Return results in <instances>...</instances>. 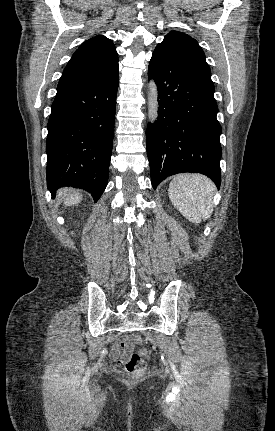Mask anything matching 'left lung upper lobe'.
<instances>
[{
    "label": "left lung upper lobe",
    "instance_id": "5c2ea615",
    "mask_svg": "<svg viewBox=\"0 0 275 431\" xmlns=\"http://www.w3.org/2000/svg\"><path fill=\"white\" fill-rule=\"evenodd\" d=\"M157 46L169 51L175 58L190 68L209 91L214 92L211 71L206 63L205 54L195 39L185 33L171 31Z\"/></svg>",
    "mask_w": 275,
    "mask_h": 431
}]
</instances>
